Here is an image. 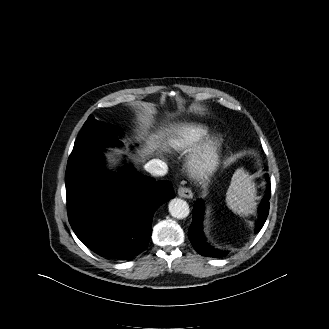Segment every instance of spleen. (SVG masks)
<instances>
[{
	"label": "spleen",
	"instance_id": "obj_1",
	"mask_svg": "<svg viewBox=\"0 0 329 329\" xmlns=\"http://www.w3.org/2000/svg\"><path fill=\"white\" fill-rule=\"evenodd\" d=\"M256 199L255 183L243 168H238L226 193L227 206L241 216L254 212Z\"/></svg>",
	"mask_w": 329,
	"mask_h": 329
}]
</instances>
